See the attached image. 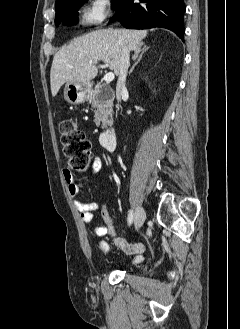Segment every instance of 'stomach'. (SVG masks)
I'll return each mask as SVG.
<instances>
[{"instance_id": "0dacf381", "label": "stomach", "mask_w": 240, "mask_h": 329, "mask_svg": "<svg viewBox=\"0 0 240 329\" xmlns=\"http://www.w3.org/2000/svg\"><path fill=\"white\" fill-rule=\"evenodd\" d=\"M90 93L89 83L68 82L64 88V98L73 105L81 104L87 100Z\"/></svg>"}]
</instances>
